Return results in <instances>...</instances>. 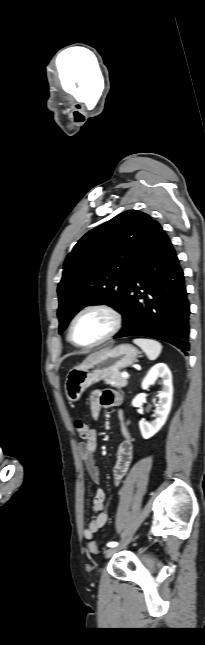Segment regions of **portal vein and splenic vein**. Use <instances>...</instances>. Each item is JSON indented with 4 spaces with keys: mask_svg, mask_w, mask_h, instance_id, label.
<instances>
[{
    "mask_svg": "<svg viewBox=\"0 0 205 645\" xmlns=\"http://www.w3.org/2000/svg\"><path fill=\"white\" fill-rule=\"evenodd\" d=\"M122 376H123V378H128V377H129V374H128L127 372H124V373L122 374Z\"/></svg>",
    "mask_w": 205,
    "mask_h": 645,
    "instance_id": "1",
    "label": "portal vein and splenic vein"
}]
</instances>
